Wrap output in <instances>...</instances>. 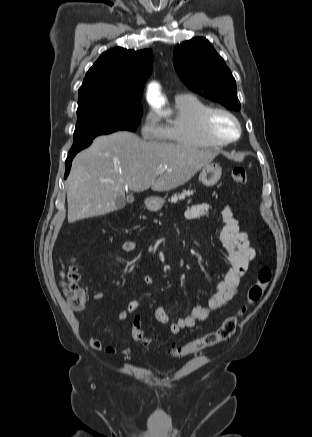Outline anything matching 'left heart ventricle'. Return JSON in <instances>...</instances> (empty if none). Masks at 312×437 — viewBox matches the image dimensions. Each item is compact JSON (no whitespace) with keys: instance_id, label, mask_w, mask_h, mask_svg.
I'll use <instances>...</instances> for the list:
<instances>
[{"instance_id":"left-heart-ventricle-1","label":"left heart ventricle","mask_w":312,"mask_h":437,"mask_svg":"<svg viewBox=\"0 0 312 437\" xmlns=\"http://www.w3.org/2000/svg\"><path fill=\"white\" fill-rule=\"evenodd\" d=\"M211 125L213 131L221 138L228 139L237 134L234 121L224 114L215 115Z\"/></svg>"}]
</instances>
